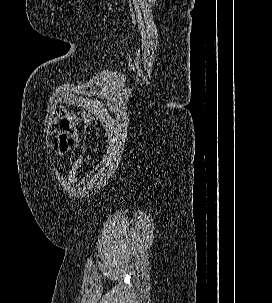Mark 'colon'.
I'll use <instances>...</instances> for the list:
<instances>
[{
	"label": "colon",
	"mask_w": 272,
	"mask_h": 303,
	"mask_svg": "<svg viewBox=\"0 0 272 303\" xmlns=\"http://www.w3.org/2000/svg\"><path fill=\"white\" fill-rule=\"evenodd\" d=\"M82 119H83L85 126L88 127L93 121V116L91 115V113L84 111L82 113ZM86 152H87V143L84 144L81 155L77 158V160L71 167L70 174H69V178H70L71 182H73L75 180V178L77 177L79 169L81 168V165L85 160Z\"/></svg>",
	"instance_id": "colon-1"
}]
</instances>
